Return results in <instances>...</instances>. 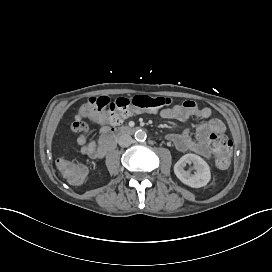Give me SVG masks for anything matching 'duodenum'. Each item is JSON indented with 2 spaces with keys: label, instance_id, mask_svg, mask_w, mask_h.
<instances>
[{
  "label": "duodenum",
  "instance_id": "duodenum-1",
  "mask_svg": "<svg viewBox=\"0 0 272 272\" xmlns=\"http://www.w3.org/2000/svg\"><path fill=\"white\" fill-rule=\"evenodd\" d=\"M137 129L138 128L132 127H119L103 130L99 138V157H103L107 152L111 151L119 137L132 134L137 131Z\"/></svg>",
  "mask_w": 272,
  "mask_h": 272
}]
</instances>
